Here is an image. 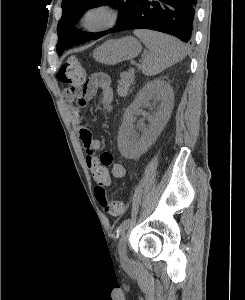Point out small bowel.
Instances as JSON below:
<instances>
[{"mask_svg": "<svg viewBox=\"0 0 245 300\" xmlns=\"http://www.w3.org/2000/svg\"><path fill=\"white\" fill-rule=\"evenodd\" d=\"M97 95H99L100 106L104 110L110 111L114 95L111 88V79L105 73H95L89 78L76 101L70 102V111L79 139L86 152V162L93 173L96 187L110 188L111 175L114 178H123L126 175V168L124 165L114 162L109 152L97 154L102 148V141L94 136L85 122V116L81 113V108L85 107Z\"/></svg>", "mask_w": 245, "mask_h": 300, "instance_id": "1", "label": "small bowel"}]
</instances>
